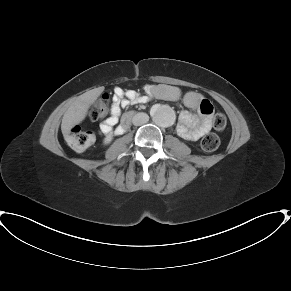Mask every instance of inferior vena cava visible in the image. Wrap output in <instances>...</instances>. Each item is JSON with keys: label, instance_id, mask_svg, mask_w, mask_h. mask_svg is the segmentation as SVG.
<instances>
[{"label": "inferior vena cava", "instance_id": "inferior-vena-cava-1", "mask_svg": "<svg viewBox=\"0 0 291 291\" xmlns=\"http://www.w3.org/2000/svg\"><path fill=\"white\" fill-rule=\"evenodd\" d=\"M149 121V116L146 113H137L132 118V123L135 126H141Z\"/></svg>", "mask_w": 291, "mask_h": 291}]
</instances>
